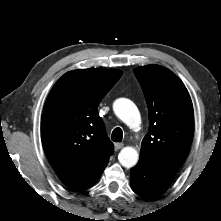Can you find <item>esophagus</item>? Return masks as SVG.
<instances>
[{
	"instance_id": "1",
	"label": "esophagus",
	"mask_w": 221,
	"mask_h": 221,
	"mask_svg": "<svg viewBox=\"0 0 221 221\" xmlns=\"http://www.w3.org/2000/svg\"><path fill=\"white\" fill-rule=\"evenodd\" d=\"M124 144L123 143H115V150H120L121 148H123Z\"/></svg>"
}]
</instances>
